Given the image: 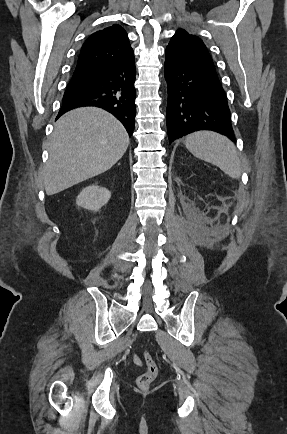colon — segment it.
<instances>
[{"label": "colon", "mask_w": 287, "mask_h": 434, "mask_svg": "<svg viewBox=\"0 0 287 434\" xmlns=\"http://www.w3.org/2000/svg\"><path fill=\"white\" fill-rule=\"evenodd\" d=\"M143 359L146 364V371L137 378V386L142 390H146L158 375V365L148 352L144 353Z\"/></svg>", "instance_id": "colon-1"}]
</instances>
